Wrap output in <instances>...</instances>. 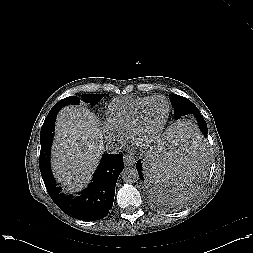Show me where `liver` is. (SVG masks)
I'll return each instance as SVG.
<instances>
[{
    "mask_svg": "<svg viewBox=\"0 0 253 253\" xmlns=\"http://www.w3.org/2000/svg\"><path fill=\"white\" fill-rule=\"evenodd\" d=\"M103 150V135L94 114L68 106L57 116L51 165L66 191L77 192L90 180Z\"/></svg>",
    "mask_w": 253,
    "mask_h": 253,
    "instance_id": "obj_1",
    "label": "liver"
}]
</instances>
